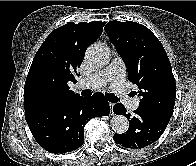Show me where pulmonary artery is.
Returning <instances> with one entry per match:
<instances>
[{
    "instance_id": "1",
    "label": "pulmonary artery",
    "mask_w": 196,
    "mask_h": 166,
    "mask_svg": "<svg viewBox=\"0 0 196 166\" xmlns=\"http://www.w3.org/2000/svg\"><path fill=\"white\" fill-rule=\"evenodd\" d=\"M125 74L126 67L123 60L116 57L105 69L80 80L77 86L80 89H95L110 83L115 92H122L124 89ZM125 104L131 110H135L138 107L139 100L129 98L125 101Z\"/></svg>"
}]
</instances>
